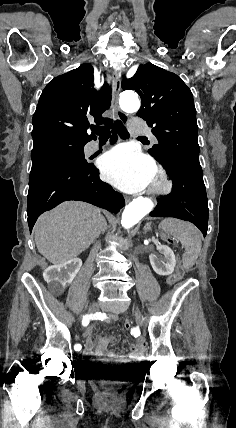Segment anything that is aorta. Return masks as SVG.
<instances>
[{
  "mask_svg": "<svg viewBox=\"0 0 236 428\" xmlns=\"http://www.w3.org/2000/svg\"><path fill=\"white\" fill-rule=\"evenodd\" d=\"M120 107L127 113L137 112L140 108L138 95L133 91H124L119 99ZM154 205L151 199L139 197L126 206L122 213L121 224L129 229L150 213Z\"/></svg>",
  "mask_w": 236,
  "mask_h": 428,
  "instance_id": "1",
  "label": "aorta"
}]
</instances>
